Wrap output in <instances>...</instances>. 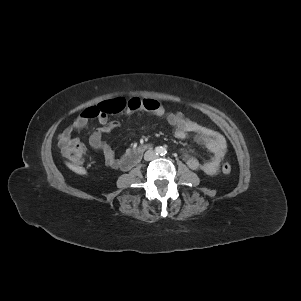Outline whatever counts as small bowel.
I'll list each match as a JSON object with an SVG mask.
<instances>
[{
	"label": "small bowel",
	"instance_id": "small-bowel-1",
	"mask_svg": "<svg viewBox=\"0 0 301 301\" xmlns=\"http://www.w3.org/2000/svg\"><path fill=\"white\" fill-rule=\"evenodd\" d=\"M157 117L165 119L173 128L176 138L181 140L192 139L198 145L207 148L212 157L208 160L200 161L192 153L182 150V157L186 164L194 170L202 171L206 174H216L225 158L227 142L224 136L214 129L202 126L197 122L187 118L182 119V112H167L163 107L157 112H153ZM88 117L81 113L64 131L58 135V143L65 146L79 141L74 136V132L85 128L89 122ZM118 126L117 122H109L105 115L97 117V126L90 135L89 143L92 148L100 151L105 163L114 169H124L123 157H118L112 147L104 140V135L111 132Z\"/></svg>",
	"mask_w": 301,
	"mask_h": 301
}]
</instances>
